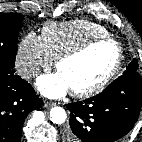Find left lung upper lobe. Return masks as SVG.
<instances>
[{
  "label": "left lung upper lobe",
  "instance_id": "5c2ea615",
  "mask_svg": "<svg viewBox=\"0 0 142 142\" xmlns=\"http://www.w3.org/2000/svg\"><path fill=\"white\" fill-rule=\"evenodd\" d=\"M137 69H138V63H137L136 59H134L129 64V66L127 67V69L124 71L123 74L130 73V72H137Z\"/></svg>",
  "mask_w": 142,
  "mask_h": 142
}]
</instances>
